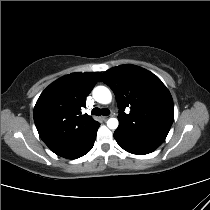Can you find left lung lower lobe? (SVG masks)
<instances>
[{
    "label": "left lung lower lobe",
    "instance_id": "obj_1",
    "mask_svg": "<svg viewBox=\"0 0 210 210\" xmlns=\"http://www.w3.org/2000/svg\"><path fill=\"white\" fill-rule=\"evenodd\" d=\"M114 138L121 148H123L127 152L138 155L151 153L161 145L160 143L157 142L130 138L122 134H119L116 131L114 133Z\"/></svg>",
    "mask_w": 210,
    "mask_h": 210
}]
</instances>
